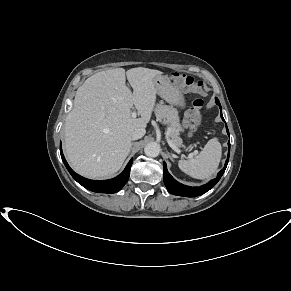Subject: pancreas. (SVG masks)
Returning <instances> with one entry per match:
<instances>
[{
    "label": "pancreas",
    "instance_id": "1",
    "mask_svg": "<svg viewBox=\"0 0 291 291\" xmlns=\"http://www.w3.org/2000/svg\"><path fill=\"white\" fill-rule=\"evenodd\" d=\"M155 116L157 120L168 125L167 133L172 143L176 147H181L182 139L179 137L181 127L177 110L172 106L158 104L155 108Z\"/></svg>",
    "mask_w": 291,
    "mask_h": 291
}]
</instances>
